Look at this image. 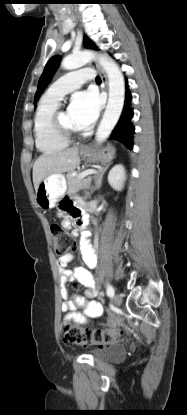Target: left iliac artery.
I'll return each instance as SVG.
<instances>
[{
  "label": "left iliac artery",
  "mask_w": 187,
  "mask_h": 415,
  "mask_svg": "<svg viewBox=\"0 0 187 415\" xmlns=\"http://www.w3.org/2000/svg\"><path fill=\"white\" fill-rule=\"evenodd\" d=\"M107 295L109 297H112L114 295V289L110 284L107 285Z\"/></svg>",
  "instance_id": "44dca946"
}]
</instances>
